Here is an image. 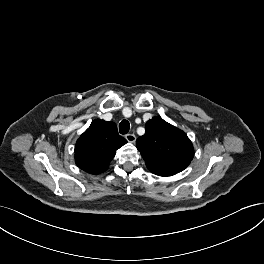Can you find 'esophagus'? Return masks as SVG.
<instances>
[{
    "instance_id": "34e87169",
    "label": "esophagus",
    "mask_w": 264,
    "mask_h": 264,
    "mask_svg": "<svg viewBox=\"0 0 264 264\" xmlns=\"http://www.w3.org/2000/svg\"><path fill=\"white\" fill-rule=\"evenodd\" d=\"M126 140L130 143H134L136 141V137L134 134L129 133L125 136Z\"/></svg>"
}]
</instances>
